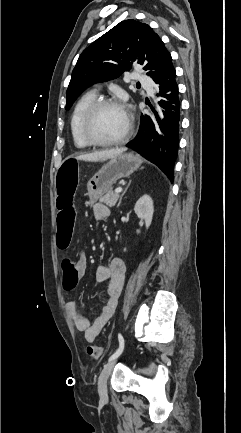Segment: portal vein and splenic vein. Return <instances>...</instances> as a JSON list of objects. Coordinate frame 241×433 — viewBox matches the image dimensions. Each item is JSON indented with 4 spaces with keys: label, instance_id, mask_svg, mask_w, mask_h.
<instances>
[{
    "label": "portal vein and splenic vein",
    "instance_id": "obj_1",
    "mask_svg": "<svg viewBox=\"0 0 241 433\" xmlns=\"http://www.w3.org/2000/svg\"><path fill=\"white\" fill-rule=\"evenodd\" d=\"M120 192H122V188L121 187H118V188L115 189V193H120Z\"/></svg>",
    "mask_w": 241,
    "mask_h": 433
}]
</instances>
